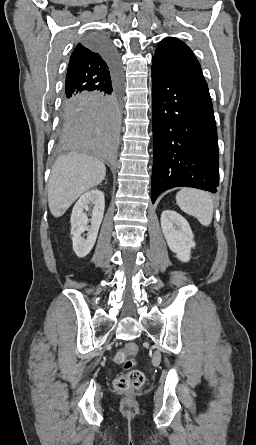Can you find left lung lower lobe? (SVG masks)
Wrapping results in <instances>:
<instances>
[{
    "label": "left lung lower lobe",
    "mask_w": 256,
    "mask_h": 445,
    "mask_svg": "<svg viewBox=\"0 0 256 445\" xmlns=\"http://www.w3.org/2000/svg\"><path fill=\"white\" fill-rule=\"evenodd\" d=\"M152 85V202L174 187L215 193L219 156L208 86L158 66H152Z\"/></svg>",
    "instance_id": "1"
}]
</instances>
